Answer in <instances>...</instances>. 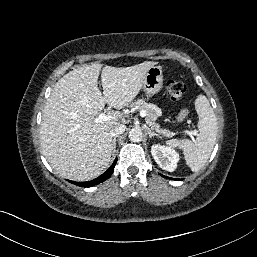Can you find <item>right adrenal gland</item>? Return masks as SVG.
Wrapping results in <instances>:
<instances>
[{
    "instance_id": "obj_1",
    "label": "right adrenal gland",
    "mask_w": 257,
    "mask_h": 257,
    "mask_svg": "<svg viewBox=\"0 0 257 257\" xmlns=\"http://www.w3.org/2000/svg\"><path fill=\"white\" fill-rule=\"evenodd\" d=\"M113 144H114V149H113V151H115V149H116V137L113 139Z\"/></svg>"
}]
</instances>
